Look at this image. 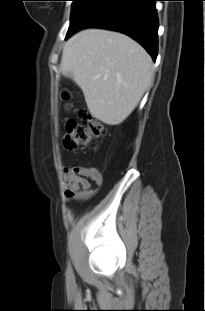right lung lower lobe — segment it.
Segmentation results:
<instances>
[{"instance_id":"right-lung-lower-lobe-1","label":"right lung lower lobe","mask_w":205,"mask_h":311,"mask_svg":"<svg viewBox=\"0 0 205 311\" xmlns=\"http://www.w3.org/2000/svg\"><path fill=\"white\" fill-rule=\"evenodd\" d=\"M157 0H90L66 39L94 27L122 32L139 42L155 61L158 51Z\"/></svg>"}]
</instances>
